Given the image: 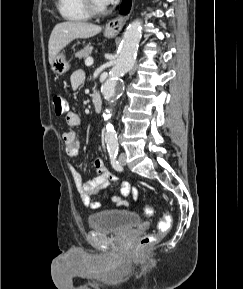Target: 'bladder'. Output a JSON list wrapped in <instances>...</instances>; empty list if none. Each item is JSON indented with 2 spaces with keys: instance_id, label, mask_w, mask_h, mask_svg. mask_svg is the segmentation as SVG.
<instances>
[{
  "instance_id": "31cf9c89",
  "label": "bladder",
  "mask_w": 243,
  "mask_h": 289,
  "mask_svg": "<svg viewBox=\"0 0 243 289\" xmlns=\"http://www.w3.org/2000/svg\"><path fill=\"white\" fill-rule=\"evenodd\" d=\"M88 222L94 230L120 234L137 227L141 218L135 212L111 209L92 214Z\"/></svg>"
}]
</instances>
